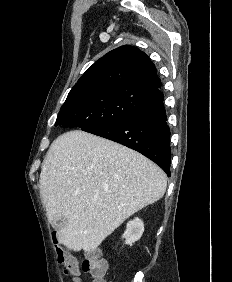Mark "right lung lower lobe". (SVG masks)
<instances>
[{
    "instance_id": "right-lung-lower-lobe-1",
    "label": "right lung lower lobe",
    "mask_w": 232,
    "mask_h": 282,
    "mask_svg": "<svg viewBox=\"0 0 232 282\" xmlns=\"http://www.w3.org/2000/svg\"><path fill=\"white\" fill-rule=\"evenodd\" d=\"M164 100V99H163ZM163 100L135 117L86 132L136 150L158 164L170 177V129Z\"/></svg>"
}]
</instances>
